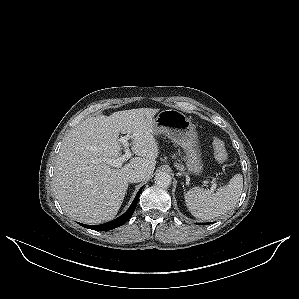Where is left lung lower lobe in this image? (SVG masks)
I'll use <instances>...</instances> for the list:
<instances>
[{
  "label": "left lung lower lobe",
  "instance_id": "0a47b994",
  "mask_svg": "<svg viewBox=\"0 0 299 299\" xmlns=\"http://www.w3.org/2000/svg\"><path fill=\"white\" fill-rule=\"evenodd\" d=\"M203 225H205V224H210V223H202Z\"/></svg>",
  "mask_w": 299,
  "mask_h": 299
}]
</instances>
